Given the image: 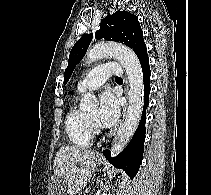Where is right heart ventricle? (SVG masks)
<instances>
[{"mask_svg":"<svg viewBox=\"0 0 211 195\" xmlns=\"http://www.w3.org/2000/svg\"><path fill=\"white\" fill-rule=\"evenodd\" d=\"M65 127L70 141L79 147H88L92 142V128L89 116L72 106L67 113Z\"/></svg>","mask_w":211,"mask_h":195,"instance_id":"e07e8e85","label":"right heart ventricle"}]
</instances>
